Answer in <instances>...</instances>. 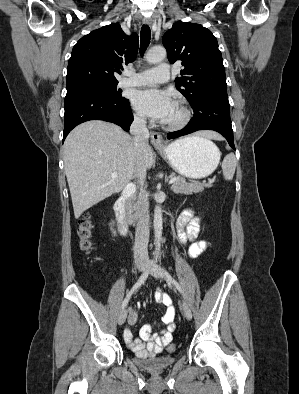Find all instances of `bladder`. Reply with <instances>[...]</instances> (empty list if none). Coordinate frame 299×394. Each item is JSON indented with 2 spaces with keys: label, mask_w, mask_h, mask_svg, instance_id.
Here are the masks:
<instances>
[{
  "label": "bladder",
  "mask_w": 299,
  "mask_h": 394,
  "mask_svg": "<svg viewBox=\"0 0 299 394\" xmlns=\"http://www.w3.org/2000/svg\"><path fill=\"white\" fill-rule=\"evenodd\" d=\"M134 363L143 370L156 374L170 368L176 361L175 355H164L158 357H134Z\"/></svg>",
  "instance_id": "1"
}]
</instances>
